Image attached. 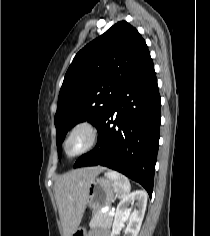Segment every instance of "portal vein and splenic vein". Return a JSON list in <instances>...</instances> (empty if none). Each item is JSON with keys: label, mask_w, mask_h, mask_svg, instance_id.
I'll list each match as a JSON object with an SVG mask.
<instances>
[{"label": "portal vein and splenic vein", "mask_w": 210, "mask_h": 236, "mask_svg": "<svg viewBox=\"0 0 210 236\" xmlns=\"http://www.w3.org/2000/svg\"><path fill=\"white\" fill-rule=\"evenodd\" d=\"M109 213H110V215H112V216H113V214H114V212H113V211H110Z\"/></svg>", "instance_id": "18ae733b"}]
</instances>
